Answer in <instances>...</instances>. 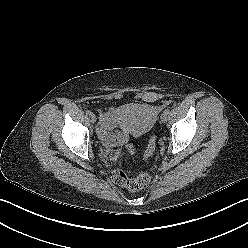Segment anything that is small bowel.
<instances>
[{"mask_svg": "<svg viewBox=\"0 0 248 248\" xmlns=\"http://www.w3.org/2000/svg\"><path fill=\"white\" fill-rule=\"evenodd\" d=\"M117 125L120 127L119 130H116ZM129 134L130 133L119 124L116 109L109 108L100 114L98 135L106 147L120 146L127 143Z\"/></svg>", "mask_w": 248, "mask_h": 248, "instance_id": "c3829d8e", "label": "small bowel"}]
</instances>
